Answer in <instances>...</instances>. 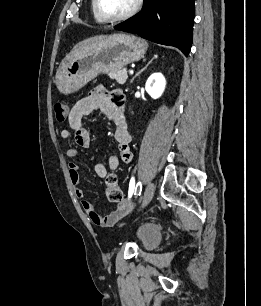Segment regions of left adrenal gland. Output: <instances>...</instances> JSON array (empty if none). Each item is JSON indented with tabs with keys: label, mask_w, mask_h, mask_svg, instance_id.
I'll use <instances>...</instances> for the list:
<instances>
[{
	"label": "left adrenal gland",
	"mask_w": 261,
	"mask_h": 306,
	"mask_svg": "<svg viewBox=\"0 0 261 306\" xmlns=\"http://www.w3.org/2000/svg\"><path fill=\"white\" fill-rule=\"evenodd\" d=\"M157 58V55H155L149 62H148V64L143 68V69H141L138 73H136V75L132 78V80H131V83L133 82V80L139 75V74H141L145 69H147V67L152 63V61L154 60V59H156Z\"/></svg>",
	"instance_id": "left-adrenal-gland-1"
}]
</instances>
